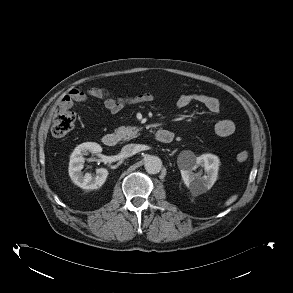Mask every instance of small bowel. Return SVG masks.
<instances>
[{
	"label": "small bowel",
	"mask_w": 293,
	"mask_h": 293,
	"mask_svg": "<svg viewBox=\"0 0 293 293\" xmlns=\"http://www.w3.org/2000/svg\"><path fill=\"white\" fill-rule=\"evenodd\" d=\"M89 98L103 100L105 109L115 115L126 106L151 102L154 99V95L151 92H141L136 95L122 94L114 97L105 87L74 88L61 99L59 104L66 108H72L76 103L85 102ZM193 102L201 103L212 114L217 115L220 113V103L217 98L199 93L181 95L177 100V106L181 109L187 108ZM235 129L236 127L232 120L220 119L214 126V134L218 138H226L232 135Z\"/></svg>",
	"instance_id": "c3829d8e"
}]
</instances>
